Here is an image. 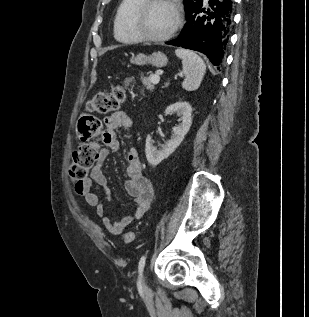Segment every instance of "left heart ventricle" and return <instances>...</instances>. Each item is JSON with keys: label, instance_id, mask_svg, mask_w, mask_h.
I'll return each mask as SVG.
<instances>
[{"label": "left heart ventricle", "instance_id": "left-heart-ventricle-1", "mask_svg": "<svg viewBox=\"0 0 309 317\" xmlns=\"http://www.w3.org/2000/svg\"><path fill=\"white\" fill-rule=\"evenodd\" d=\"M175 21L174 8L168 3H157L146 13L142 29L149 35L161 36L172 29Z\"/></svg>", "mask_w": 309, "mask_h": 317}]
</instances>
